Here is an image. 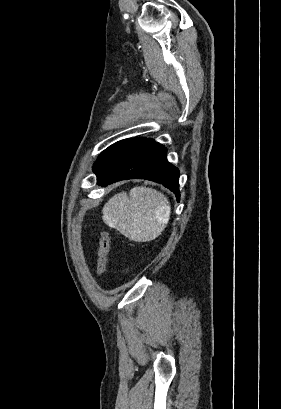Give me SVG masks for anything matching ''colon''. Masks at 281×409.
<instances>
[{"label": "colon", "mask_w": 281, "mask_h": 409, "mask_svg": "<svg viewBox=\"0 0 281 409\" xmlns=\"http://www.w3.org/2000/svg\"><path fill=\"white\" fill-rule=\"evenodd\" d=\"M109 255V239L106 231H101L98 239V255L96 271L98 276H102L107 264Z\"/></svg>", "instance_id": "obj_1"}]
</instances>
